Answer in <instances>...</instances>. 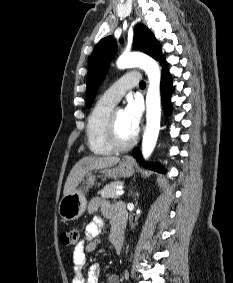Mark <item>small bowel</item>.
I'll use <instances>...</instances> for the list:
<instances>
[{
  "label": "small bowel",
  "mask_w": 233,
  "mask_h": 283,
  "mask_svg": "<svg viewBox=\"0 0 233 283\" xmlns=\"http://www.w3.org/2000/svg\"><path fill=\"white\" fill-rule=\"evenodd\" d=\"M98 210H101L105 218L112 219L114 226L119 222L125 223V213L121 208L109 204L100 197H95L90 200L87 211L88 214L94 215ZM102 229L103 220L98 216H95L87 224L84 237L73 250L72 259L75 276L72 283H99L101 272L99 264L95 263L90 266L86 278L83 276L82 270L86 263V254L94 251L101 242L99 235ZM107 283H119V278L116 275H110L107 278Z\"/></svg>",
  "instance_id": "obj_1"
}]
</instances>
